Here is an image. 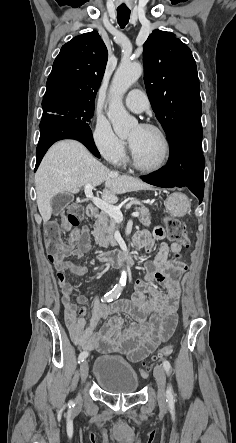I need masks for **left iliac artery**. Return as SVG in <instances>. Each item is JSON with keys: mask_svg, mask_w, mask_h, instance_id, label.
<instances>
[{"mask_svg": "<svg viewBox=\"0 0 236 443\" xmlns=\"http://www.w3.org/2000/svg\"><path fill=\"white\" fill-rule=\"evenodd\" d=\"M163 367H164L166 373L168 375H170L171 374V364H170V362L167 361V360H164L163 361ZM166 396H167V401L169 403H173V401H174V392H173V389H172L171 386L167 387Z\"/></svg>", "mask_w": 236, "mask_h": 443, "instance_id": "1", "label": "left iliac artery"}]
</instances>
